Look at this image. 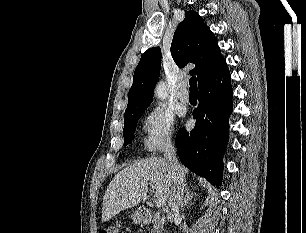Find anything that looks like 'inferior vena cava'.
<instances>
[{"label":"inferior vena cava","instance_id":"602c4592","mask_svg":"<svg viewBox=\"0 0 306 233\" xmlns=\"http://www.w3.org/2000/svg\"><path fill=\"white\" fill-rule=\"evenodd\" d=\"M164 158L168 161L172 170V189L168 198L167 218L172 222L179 215V206L185 192V175L179 164L174 146L168 141L164 149Z\"/></svg>","mask_w":306,"mask_h":233}]
</instances>
